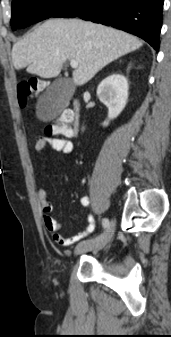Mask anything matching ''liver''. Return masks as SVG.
<instances>
[{
	"instance_id": "6515ba94",
	"label": "liver",
	"mask_w": 171,
	"mask_h": 337,
	"mask_svg": "<svg viewBox=\"0 0 171 337\" xmlns=\"http://www.w3.org/2000/svg\"><path fill=\"white\" fill-rule=\"evenodd\" d=\"M133 35L79 19H49L12 48L16 70L42 78L57 77L67 59L78 61L73 83L84 85L112 61L139 49Z\"/></svg>"
}]
</instances>
